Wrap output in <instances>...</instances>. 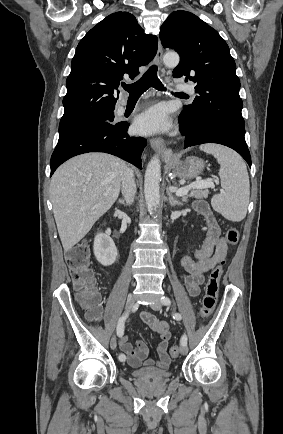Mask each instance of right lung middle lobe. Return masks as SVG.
I'll return each instance as SVG.
<instances>
[{
	"label": "right lung middle lobe",
	"mask_w": 283,
	"mask_h": 434,
	"mask_svg": "<svg viewBox=\"0 0 283 434\" xmlns=\"http://www.w3.org/2000/svg\"><path fill=\"white\" fill-rule=\"evenodd\" d=\"M113 119V110L86 117L61 119L59 124V135L85 124L97 122H112Z\"/></svg>",
	"instance_id": "obj_1"
}]
</instances>
